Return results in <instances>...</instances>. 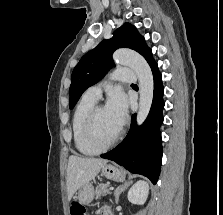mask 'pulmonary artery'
I'll return each instance as SVG.
<instances>
[{"label":"pulmonary artery","instance_id":"pulmonary-artery-1","mask_svg":"<svg viewBox=\"0 0 223 215\" xmlns=\"http://www.w3.org/2000/svg\"><path fill=\"white\" fill-rule=\"evenodd\" d=\"M118 69L120 70V73L118 75H111L109 78L112 80H119L122 83H131L136 81L137 74L133 73V69H125L124 65H119ZM102 86L103 83H100L96 86H93L89 88L85 92V96L94 100L98 101L99 98L101 97V92H102Z\"/></svg>","mask_w":223,"mask_h":215}]
</instances>
